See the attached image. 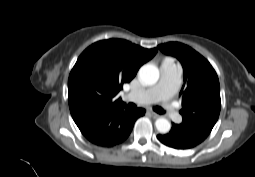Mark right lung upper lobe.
<instances>
[{"mask_svg":"<svg viewBox=\"0 0 255 177\" xmlns=\"http://www.w3.org/2000/svg\"><path fill=\"white\" fill-rule=\"evenodd\" d=\"M157 49H145L122 39L98 41L78 58L68 80L73 120L123 104L117 94Z\"/></svg>","mask_w":255,"mask_h":177,"instance_id":"right-lung-upper-lobe-1","label":"right lung upper lobe"}]
</instances>
